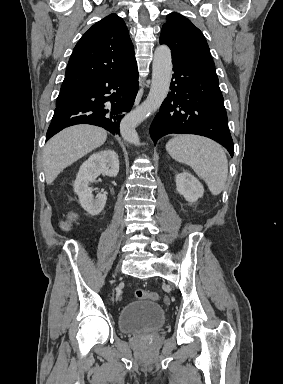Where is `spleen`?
<instances>
[{
  "label": "spleen",
  "instance_id": "obj_1",
  "mask_svg": "<svg viewBox=\"0 0 283 384\" xmlns=\"http://www.w3.org/2000/svg\"><path fill=\"white\" fill-rule=\"evenodd\" d=\"M166 150L173 160L190 166L198 178L206 182L213 196L224 190L228 162L222 146L202 136L183 134L169 140Z\"/></svg>",
  "mask_w": 283,
  "mask_h": 384
}]
</instances>
